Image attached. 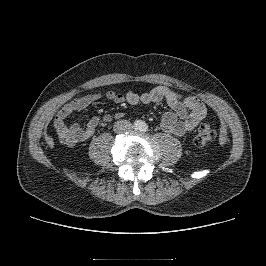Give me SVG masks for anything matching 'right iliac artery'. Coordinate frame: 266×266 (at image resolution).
<instances>
[{
	"mask_svg": "<svg viewBox=\"0 0 266 266\" xmlns=\"http://www.w3.org/2000/svg\"><path fill=\"white\" fill-rule=\"evenodd\" d=\"M141 127V122L140 121H135L134 122V128L139 129Z\"/></svg>",
	"mask_w": 266,
	"mask_h": 266,
	"instance_id": "right-iliac-artery-1",
	"label": "right iliac artery"
}]
</instances>
